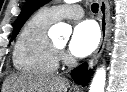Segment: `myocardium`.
<instances>
[{
    "mask_svg": "<svg viewBox=\"0 0 127 92\" xmlns=\"http://www.w3.org/2000/svg\"><path fill=\"white\" fill-rule=\"evenodd\" d=\"M54 47H55V49H56L57 51H60V50H61V47H59L58 45H55V44H54Z\"/></svg>",
    "mask_w": 127,
    "mask_h": 92,
    "instance_id": "myocardium-1",
    "label": "myocardium"
}]
</instances>
